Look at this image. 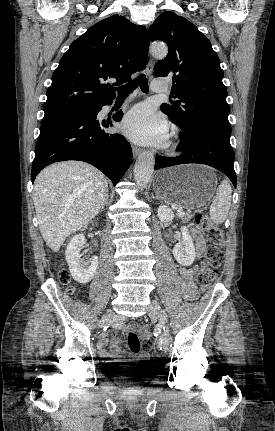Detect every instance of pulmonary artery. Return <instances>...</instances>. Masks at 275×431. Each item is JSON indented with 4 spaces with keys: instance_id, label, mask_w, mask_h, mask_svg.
<instances>
[{
    "instance_id": "pulmonary-artery-1",
    "label": "pulmonary artery",
    "mask_w": 275,
    "mask_h": 431,
    "mask_svg": "<svg viewBox=\"0 0 275 431\" xmlns=\"http://www.w3.org/2000/svg\"><path fill=\"white\" fill-rule=\"evenodd\" d=\"M152 90L157 93H164L168 90V87L165 82L161 80H154L152 82Z\"/></svg>"
}]
</instances>
